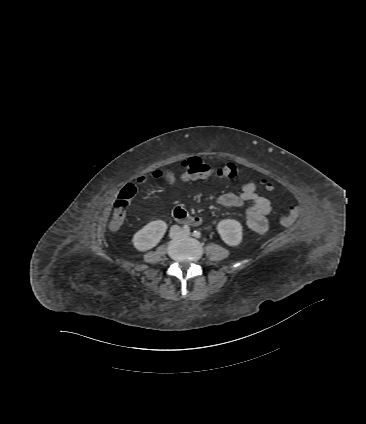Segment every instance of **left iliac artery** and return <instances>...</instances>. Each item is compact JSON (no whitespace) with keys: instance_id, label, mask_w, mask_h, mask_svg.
I'll use <instances>...</instances> for the list:
<instances>
[{"instance_id":"obj_1","label":"left iliac artery","mask_w":366,"mask_h":424,"mask_svg":"<svg viewBox=\"0 0 366 424\" xmlns=\"http://www.w3.org/2000/svg\"><path fill=\"white\" fill-rule=\"evenodd\" d=\"M193 236L196 238H200L201 237V233L199 231H194L193 232Z\"/></svg>"}]
</instances>
